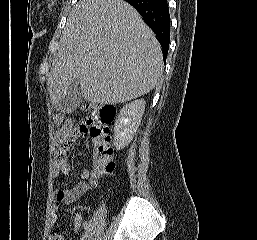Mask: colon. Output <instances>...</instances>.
<instances>
[{
  "instance_id": "colon-1",
  "label": "colon",
  "mask_w": 257,
  "mask_h": 240,
  "mask_svg": "<svg viewBox=\"0 0 257 240\" xmlns=\"http://www.w3.org/2000/svg\"><path fill=\"white\" fill-rule=\"evenodd\" d=\"M115 116V108L102 104L91 106L82 124L93 141L92 181L96 184L103 176L114 171L113 150L110 146L109 124Z\"/></svg>"
}]
</instances>
